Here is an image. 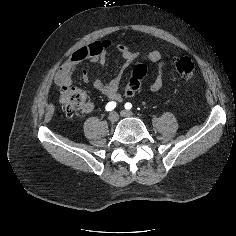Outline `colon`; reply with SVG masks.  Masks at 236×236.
I'll list each match as a JSON object with an SVG mask.
<instances>
[{"instance_id":"obj_1","label":"colon","mask_w":236,"mask_h":236,"mask_svg":"<svg viewBox=\"0 0 236 236\" xmlns=\"http://www.w3.org/2000/svg\"><path fill=\"white\" fill-rule=\"evenodd\" d=\"M178 75L184 80H190L195 74L194 61L189 57H181L175 64ZM147 73V66L139 63L133 68L132 74L127 81L125 90L137 91ZM87 103V93L84 89L65 85L60 91V107L66 114L79 111Z\"/></svg>"}]
</instances>
